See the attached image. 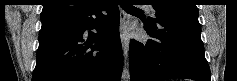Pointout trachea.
Wrapping results in <instances>:
<instances>
[{
  "label": "trachea",
  "mask_w": 237,
  "mask_h": 81,
  "mask_svg": "<svg viewBox=\"0 0 237 81\" xmlns=\"http://www.w3.org/2000/svg\"><path fill=\"white\" fill-rule=\"evenodd\" d=\"M120 5L125 10L141 11L140 9L134 7L132 4H127L125 2H122Z\"/></svg>",
  "instance_id": "1"
}]
</instances>
